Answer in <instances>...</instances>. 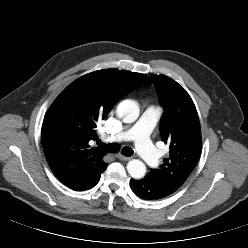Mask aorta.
<instances>
[{
  "label": "aorta",
  "mask_w": 248,
  "mask_h": 248,
  "mask_svg": "<svg viewBox=\"0 0 248 248\" xmlns=\"http://www.w3.org/2000/svg\"><path fill=\"white\" fill-rule=\"evenodd\" d=\"M116 112L125 123H132L139 117L140 110L135 101L127 99L119 103ZM127 170L132 178L140 179L146 173V166L142 161L133 159L127 163Z\"/></svg>",
  "instance_id": "762f6f07"
}]
</instances>
